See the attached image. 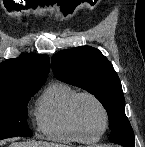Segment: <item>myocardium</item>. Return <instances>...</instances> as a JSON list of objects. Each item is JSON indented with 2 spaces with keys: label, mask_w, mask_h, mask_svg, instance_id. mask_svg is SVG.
<instances>
[{
  "label": "myocardium",
  "mask_w": 145,
  "mask_h": 147,
  "mask_svg": "<svg viewBox=\"0 0 145 147\" xmlns=\"http://www.w3.org/2000/svg\"><path fill=\"white\" fill-rule=\"evenodd\" d=\"M82 98H90L91 100H93L98 105V107L102 111V114H103V117H104V126L98 134L89 135V134H87V132L81 126V122H80V119L78 117L77 108H78V102ZM70 117H71V120H72L76 130L79 133L86 135L90 140H97V139L101 138L106 133V131L109 127V123H110L109 112H108L105 104L102 102V100L98 96H96L95 94H93L91 92H87V91L78 92L74 96V98L72 99L71 105H70Z\"/></svg>",
  "instance_id": "1"
}]
</instances>
